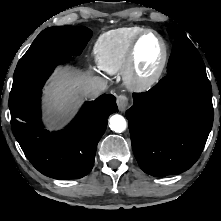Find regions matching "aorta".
<instances>
[{
  "label": "aorta",
  "mask_w": 221,
  "mask_h": 221,
  "mask_svg": "<svg viewBox=\"0 0 221 221\" xmlns=\"http://www.w3.org/2000/svg\"><path fill=\"white\" fill-rule=\"evenodd\" d=\"M126 126V120L119 114H115L109 119V127L114 132L121 133L126 129Z\"/></svg>",
  "instance_id": "762f6f07"
}]
</instances>
